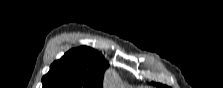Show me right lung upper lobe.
Segmentation results:
<instances>
[{"mask_svg": "<svg viewBox=\"0 0 223 88\" xmlns=\"http://www.w3.org/2000/svg\"><path fill=\"white\" fill-rule=\"evenodd\" d=\"M107 67L108 63L96 50L74 48L50 66L42 78L43 88H102Z\"/></svg>", "mask_w": 223, "mask_h": 88, "instance_id": "right-lung-upper-lobe-1", "label": "right lung upper lobe"}]
</instances>
